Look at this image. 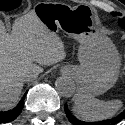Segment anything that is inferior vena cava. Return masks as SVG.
I'll list each match as a JSON object with an SVG mask.
<instances>
[{"mask_svg": "<svg viewBox=\"0 0 125 125\" xmlns=\"http://www.w3.org/2000/svg\"><path fill=\"white\" fill-rule=\"evenodd\" d=\"M38 77V73L35 71H30L25 74H23L22 78L24 81H31Z\"/></svg>", "mask_w": 125, "mask_h": 125, "instance_id": "obj_1", "label": "inferior vena cava"}]
</instances>
